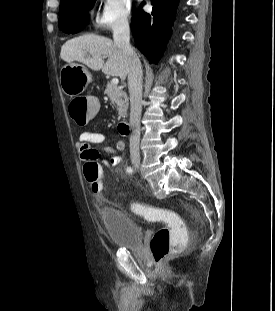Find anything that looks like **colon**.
I'll return each mask as SVG.
<instances>
[{"label": "colon", "mask_w": 275, "mask_h": 311, "mask_svg": "<svg viewBox=\"0 0 275 311\" xmlns=\"http://www.w3.org/2000/svg\"><path fill=\"white\" fill-rule=\"evenodd\" d=\"M99 97H79L70 103L74 110L73 118L77 125H88L100 115ZM85 177L93 193L101 190L100 166L94 161L88 162L85 167ZM146 218L164 222L165 226L158 229L150 241V249L157 264H160L170 254L181 251L187 243L186 230L181 217L169 209H152L147 206L136 207Z\"/></svg>", "instance_id": "1"}]
</instances>
